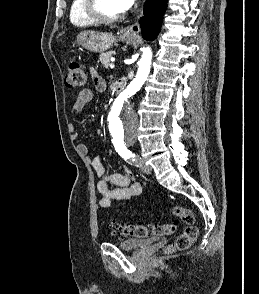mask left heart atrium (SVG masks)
<instances>
[{"label": "left heart atrium", "mask_w": 259, "mask_h": 294, "mask_svg": "<svg viewBox=\"0 0 259 294\" xmlns=\"http://www.w3.org/2000/svg\"><path fill=\"white\" fill-rule=\"evenodd\" d=\"M135 0H119V3L121 5V8L124 11L130 9L133 5Z\"/></svg>", "instance_id": "39dd6f15"}]
</instances>
